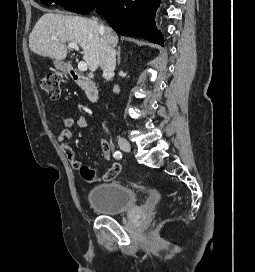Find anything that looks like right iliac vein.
Returning a JSON list of instances; mask_svg holds the SVG:
<instances>
[{
  "mask_svg": "<svg viewBox=\"0 0 255 272\" xmlns=\"http://www.w3.org/2000/svg\"><path fill=\"white\" fill-rule=\"evenodd\" d=\"M118 145L121 148V150H123L125 152H129L131 150L130 143L123 137H120L118 139Z\"/></svg>",
  "mask_w": 255,
  "mask_h": 272,
  "instance_id": "1",
  "label": "right iliac vein"
}]
</instances>
